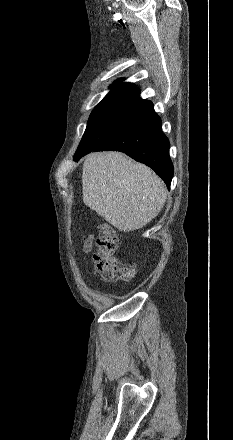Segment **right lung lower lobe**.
Masks as SVG:
<instances>
[{
    "instance_id": "right-lung-lower-lobe-1",
    "label": "right lung lower lobe",
    "mask_w": 233,
    "mask_h": 440,
    "mask_svg": "<svg viewBox=\"0 0 233 440\" xmlns=\"http://www.w3.org/2000/svg\"><path fill=\"white\" fill-rule=\"evenodd\" d=\"M169 147L152 102L138 98L83 138L74 157L78 160L91 151H121L151 167L169 188L174 173Z\"/></svg>"
}]
</instances>
